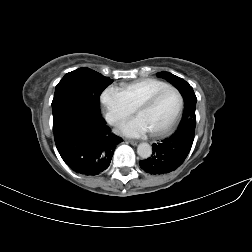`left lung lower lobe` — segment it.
<instances>
[{
    "mask_svg": "<svg viewBox=\"0 0 252 252\" xmlns=\"http://www.w3.org/2000/svg\"><path fill=\"white\" fill-rule=\"evenodd\" d=\"M197 98L185 94L184 112L176 131L159 143L152 145L151 157L139 161L140 167L149 174H164L176 170L189 154L195 135Z\"/></svg>",
    "mask_w": 252,
    "mask_h": 252,
    "instance_id": "obj_1",
    "label": "left lung lower lobe"
}]
</instances>
